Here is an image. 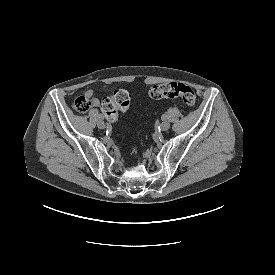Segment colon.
<instances>
[{
	"mask_svg": "<svg viewBox=\"0 0 275 275\" xmlns=\"http://www.w3.org/2000/svg\"><path fill=\"white\" fill-rule=\"evenodd\" d=\"M153 99L179 98L186 105L192 107L196 102L193 89L182 82H166L154 85L149 90ZM131 106V97L128 91L119 89L112 96L105 97L100 102L103 116L111 123L117 119L118 111H127ZM79 113H86L92 107V101L87 95L78 97L73 103Z\"/></svg>",
	"mask_w": 275,
	"mask_h": 275,
	"instance_id": "1",
	"label": "colon"
}]
</instances>
